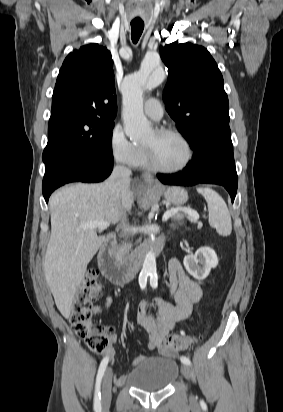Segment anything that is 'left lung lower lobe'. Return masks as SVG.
Instances as JSON below:
<instances>
[{
	"instance_id": "0a47b994",
	"label": "left lung lower lobe",
	"mask_w": 283,
	"mask_h": 412,
	"mask_svg": "<svg viewBox=\"0 0 283 412\" xmlns=\"http://www.w3.org/2000/svg\"><path fill=\"white\" fill-rule=\"evenodd\" d=\"M230 164L228 158L209 153L200 148L182 172L158 174L157 177L162 183L169 185L189 186L199 183L222 185L229 192L233 202L236 196L237 184L232 179Z\"/></svg>"
}]
</instances>
